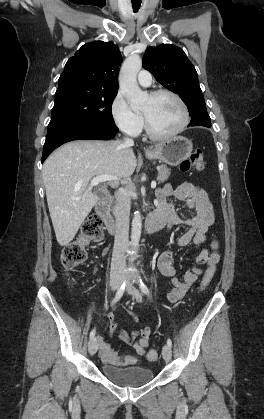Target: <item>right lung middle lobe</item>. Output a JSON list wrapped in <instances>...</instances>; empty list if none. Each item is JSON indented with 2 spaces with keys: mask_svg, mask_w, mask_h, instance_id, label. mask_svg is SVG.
Segmentation results:
<instances>
[{
  "mask_svg": "<svg viewBox=\"0 0 264 419\" xmlns=\"http://www.w3.org/2000/svg\"><path fill=\"white\" fill-rule=\"evenodd\" d=\"M116 95L117 92L91 90L78 84L59 87L47 137L77 124L115 125L111 106Z\"/></svg>",
  "mask_w": 264,
  "mask_h": 419,
  "instance_id": "dd1d6c3e",
  "label": "right lung middle lobe"
}]
</instances>
